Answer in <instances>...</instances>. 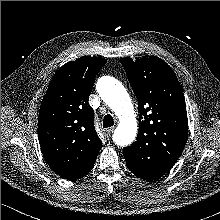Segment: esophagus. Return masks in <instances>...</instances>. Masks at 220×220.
I'll list each match as a JSON object with an SVG mask.
<instances>
[{"label": "esophagus", "mask_w": 220, "mask_h": 220, "mask_svg": "<svg viewBox=\"0 0 220 220\" xmlns=\"http://www.w3.org/2000/svg\"><path fill=\"white\" fill-rule=\"evenodd\" d=\"M115 128L114 127H111V128H108L106 129V135L107 136H111V134L114 132Z\"/></svg>", "instance_id": "obj_1"}]
</instances>
